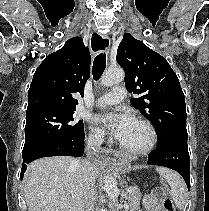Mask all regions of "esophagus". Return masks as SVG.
<instances>
[{
    "mask_svg": "<svg viewBox=\"0 0 209 211\" xmlns=\"http://www.w3.org/2000/svg\"><path fill=\"white\" fill-rule=\"evenodd\" d=\"M110 38L104 36L103 39L98 34H93L91 39L92 49L97 53H102V49L108 53L110 50ZM92 163H116V159H122V154H118L116 147H97V151H91Z\"/></svg>",
    "mask_w": 209,
    "mask_h": 211,
    "instance_id": "34e87169",
    "label": "esophagus"
}]
</instances>
